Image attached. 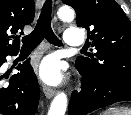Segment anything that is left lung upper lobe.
<instances>
[{"instance_id":"obj_1","label":"left lung upper lobe","mask_w":131,"mask_h":115,"mask_svg":"<svg viewBox=\"0 0 131 115\" xmlns=\"http://www.w3.org/2000/svg\"><path fill=\"white\" fill-rule=\"evenodd\" d=\"M74 8L77 26L88 31L95 58L78 57L76 66L105 81L131 83V22L114 0H63ZM90 33V34H89Z\"/></svg>"}]
</instances>
